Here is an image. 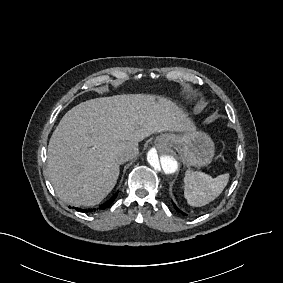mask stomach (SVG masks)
I'll return each mask as SVG.
<instances>
[{"label":"stomach","instance_id":"1","mask_svg":"<svg viewBox=\"0 0 283 283\" xmlns=\"http://www.w3.org/2000/svg\"><path fill=\"white\" fill-rule=\"evenodd\" d=\"M155 144L160 149L175 148L182 162L188 166H207L215 154L213 140L202 131L164 133L156 137Z\"/></svg>","mask_w":283,"mask_h":283}]
</instances>
